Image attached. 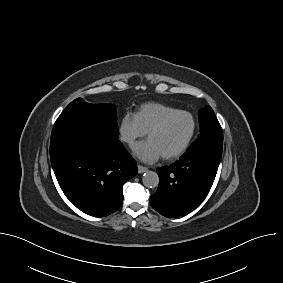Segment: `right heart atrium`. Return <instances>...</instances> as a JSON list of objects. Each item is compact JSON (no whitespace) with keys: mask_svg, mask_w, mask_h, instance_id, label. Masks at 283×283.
Segmentation results:
<instances>
[{"mask_svg":"<svg viewBox=\"0 0 283 283\" xmlns=\"http://www.w3.org/2000/svg\"><path fill=\"white\" fill-rule=\"evenodd\" d=\"M146 131L135 113L126 112L119 122V135L121 140L128 146H133L135 143L146 135Z\"/></svg>","mask_w":283,"mask_h":283,"instance_id":"d8ad5b80","label":"right heart atrium"}]
</instances>
